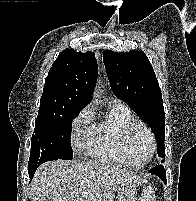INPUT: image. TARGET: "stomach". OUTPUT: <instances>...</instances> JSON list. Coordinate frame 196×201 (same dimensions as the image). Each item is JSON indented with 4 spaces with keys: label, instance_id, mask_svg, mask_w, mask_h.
<instances>
[{
    "label": "stomach",
    "instance_id": "1",
    "mask_svg": "<svg viewBox=\"0 0 196 201\" xmlns=\"http://www.w3.org/2000/svg\"><path fill=\"white\" fill-rule=\"evenodd\" d=\"M118 201H136L137 185L135 183H126L120 185L117 189Z\"/></svg>",
    "mask_w": 196,
    "mask_h": 201
}]
</instances>
